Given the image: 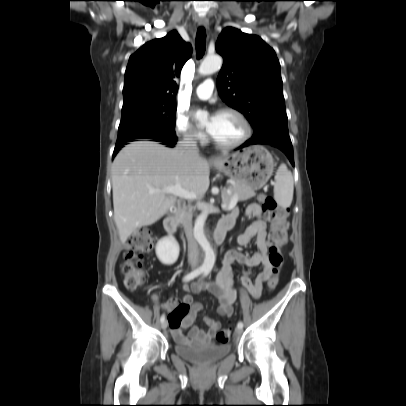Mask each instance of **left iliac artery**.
Returning a JSON list of instances; mask_svg holds the SVG:
<instances>
[{"mask_svg": "<svg viewBox=\"0 0 406 406\" xmlns=\"http://www.w3.org/2000/svg\"><path fill=\"white\" fill-rule=\"evenodd\" d=\"M209 272H210V269H206V270L204 271V276H207V275L209 274ZM237 327L243 328V323H242L241 321L238 322Z\"/></svg>", "mask_w": 406, "mask_h": 406, "instance_id": "44dca946", "label": "left iliac artery"}]
</instances>
